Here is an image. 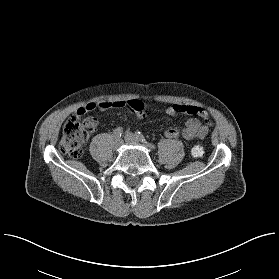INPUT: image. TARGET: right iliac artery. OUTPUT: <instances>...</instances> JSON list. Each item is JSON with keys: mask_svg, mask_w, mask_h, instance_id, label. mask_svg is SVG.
<instances>
[{"mask_svg": "<svg viewBox=\"0 0 279 279\" xmlns=\"http://www.w3.org/2000/svg\"><path fill=\"white\" fill-rule=\"evenodd\" d=\"M122 132H123V128L122 127H117L115 130H114V138L117 140V139H120L121 138V135H122Z\"/></svg>", "mask_w": 279, "mask_h": 279, "instance_id": "right-iliac-artery-1", "label": "right iliac artery"}]
</instances>
